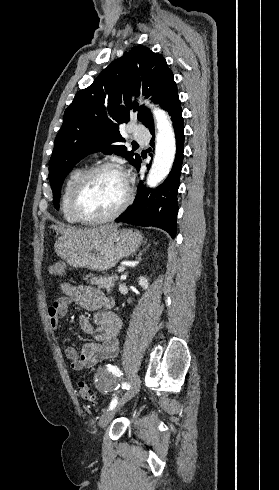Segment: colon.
I'll use <instances>...</instances> for the list:
<instances>
[{
	"label": "colon",
	"mask_w": 279,
	"mask_h": 490,
	"mask_svg": "<svg viewBox=\"0 0 279 490\" xmlns=\"http://www.w3.org/2000/svg\"><path fill=\"white\" fill-rule=\"evenodd\" d=\"M47 272L49 275L62 278L65 274V264L62 261H53L48 264ZM78 392L82 400L88 403L95 402V394L93 389L84 381L78 382Z\"/></svg>",
	"instance_id": "1"
}]
</instances>
